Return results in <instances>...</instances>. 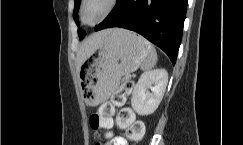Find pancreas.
Returning a JSON list of instances; mask_svg holds the SVG:
<instances>
[{
	"label": "pancreas",
	"instance_id": "1",
	"mask_svg": "<svg viewBox=\"0 0 243 145\" xmlns=\"http://www.w3.org/2000/svg\"><path fill=\"white\" fill-rule=\"evenodd\" d=\"M128 79H129L128 76H125L123 80L125 81V80H128Z\"/></svg>",
	"mask_w": 243,
	"mask_h": 145
}]
</instances>
